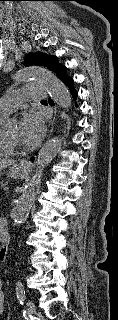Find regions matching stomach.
<instances>
[{
  "label": "stomach",
  "mask_w": 118,
  "mask_h": 320,
  "mask_svg": "<svg viewBox=\"0 0 118 320\" xmlns=\"http://www.w3.org/2000/svg\"><path fill=\"white\" fill-rule=\"evenodd\" d=\"M30 166L27 162H20L9 167L7 175L14 179L25 177L29 172Z\"/></svg>",
  "instance_id": "0dacf381"
}]
</instances>
